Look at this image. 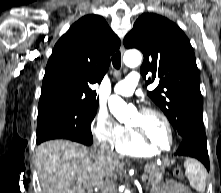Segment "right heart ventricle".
Returning <instances> with one entry per match:
<instances>
[{"instance_id":"right-heart-ventricle-1","label":"right heart ventricle","mask_w":221,"mask_h":193,"mask_svg":"<svg viewBox=\"0 0 221 193\" xmlns=\"http://www.w3.org/2000/svg\"><path fill=\"white\" fill-rule=\"evenodd\" d=\"M117 153L130 156H151L155 152L140 143L130 130L125 129L123 138L114 146Z\"/></svg>"}]
</instances>
